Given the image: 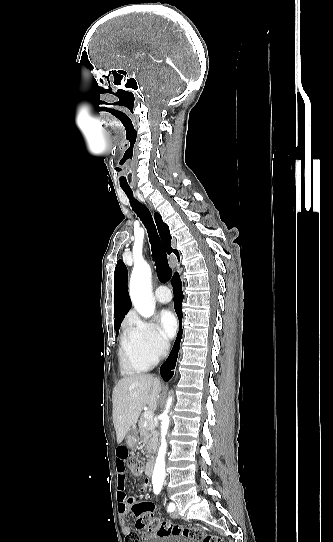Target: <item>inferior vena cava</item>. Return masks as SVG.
I'll return each instance as SVG.
<instances>
[{
	"instance_id": "1",
	"label": "inferior vena cava",
	"mask_w": 333,
	"mask_h": 542,
	"mask_svg": "<svg viewBox=\"0 0 333 542\" xmlns=\"http://www.w3.org/2000/svg\"><path fill=\"white\" fill-rule=\"evenodd\" d=\"M168 348H169V340H164V342H163V356H165V354H167Z\"/></svg>"
}]
</instances>
